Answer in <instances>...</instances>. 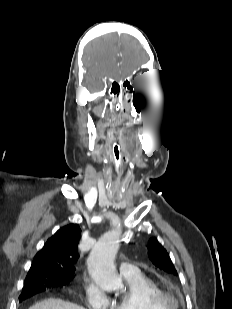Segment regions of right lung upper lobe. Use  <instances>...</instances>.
<instances>
[{
  "mask_svg": "<svg viewBox=\"0 0 232 309\" xmlns=\"http://www.w3.org/2000/svg\"><path fill=\"white\" fill-rule=\"evenodd\" d=\"M81 229L77 224L60 228L37 252L27 275L47 272L72 278L79 255Z\"/></svg>",
  "mask_w": 232,
  "mask_h": 309,
  "instance_id": "1",
  "label": "right lung upper lobe"
}]
</instances>
